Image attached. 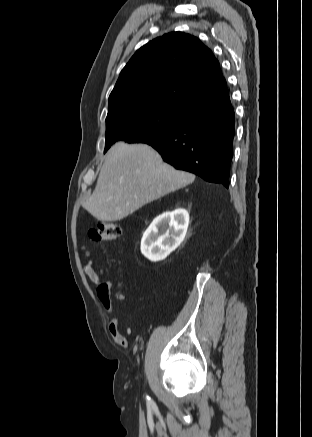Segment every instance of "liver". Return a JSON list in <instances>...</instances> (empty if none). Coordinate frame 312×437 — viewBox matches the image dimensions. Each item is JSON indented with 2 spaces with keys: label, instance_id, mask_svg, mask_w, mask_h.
Instances as JSON below:
<instances>
[{
  "label": "liver",
  "instance_id": "6515ba94",
  "mask_svg": "<svg viewBox=\"0 0 312 437\" xmlns=\"http://www.w3.org/2000/svg\"><path fill=\"white\" fill-rule=\"evenodd\" d=\"M194 179L193 174L163 162L149 145L117 142L107 152L96 187L83 207L98 220L118 221Z\"/></svg>",
  "mask_w": 312,
  "mask_h": 437
}]
</instances>
